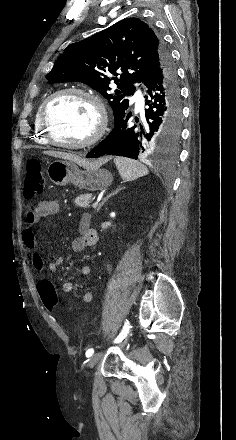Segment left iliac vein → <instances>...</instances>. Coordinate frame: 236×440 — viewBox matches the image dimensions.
<instances>
[{
  "mask_svg": "<svg viewBox=\"0 0 236 440\" xmlns=\"http://www.w3.org/2000/svg\"><path fill=\"white\" fill-rule=\"evenodd\" d=\"M125 342H126V340L121 344V347L124 346ZM101 357H102V353L94 354L89 360L88 367L93 368L98 363V361L101 359Z\"/></svg>",
  "mask_w": 236,
  "mask_h": 440,
  "instance_id": "obj_1",
  "label": "left iliac vein"
}]
</instances>
